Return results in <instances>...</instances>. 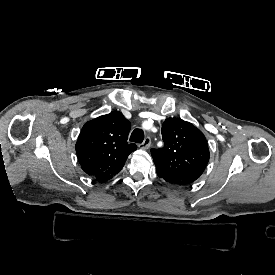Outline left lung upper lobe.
Wrapping results in <instances>:
<instances>
[{
	"mask_svg": "<svg viewBox=\"0 0 275 275\" xmlns=\"http://www.w3.org/2000/svg\"><path fill=\"white\" fill-rule=\"evenodd\" d=\"M161 133L165 146L151 150L156 169L167 175L173 184L194 182L203 173L210 157L203 133L179 118H167Z\"/></svg>",
	"mask_w": 275,
	"mask_h": 275,
	"instance_id": "obj_1",
	"label": "left lung upper lobe"
}]
</instances>
